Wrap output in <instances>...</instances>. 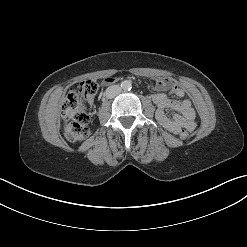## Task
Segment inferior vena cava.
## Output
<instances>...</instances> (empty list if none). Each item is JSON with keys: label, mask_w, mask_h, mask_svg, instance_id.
Masks as SVG:
<instances>
[{"label": "inferior vena cava", "mask_w": 247, "mask_h": 247, "mask_svg": "<svg viewBox=\"0 0 247 247\" xmlns=\"http://www.w3.org/2000/svg\"><path fill=\"white\" fill-rule=\"evenodd\" d=\"M121 93V87L119 85H111L106 89L105 95L107 98H114Z\"/></svg>", "instance_id": "obj_1"}]
</instances>
